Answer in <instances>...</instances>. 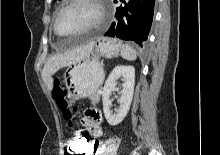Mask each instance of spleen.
I'll return each mask as SVG.
<instances>
[{"label": "spleen", "mask_w": 220, "mask_h": 155, "mask_svg": "<svg viewBox=\"0 0 220 155\" xmlns=\"http://www.w3.org/2000/svg\"><path fill=\"white\" fill-rule=\"evenodd\" d=\"M121 57L125 60L133 61L137 58L135 50L128 44H123L121 47Z\"/></svg>", "instance_id": "spleen-1"}]
</instances>
